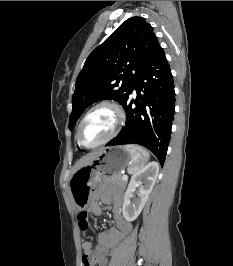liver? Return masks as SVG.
Returning <instances> with one entry per match:
<instances>
[{
	"label": "liver",
	"instance_id": "1",
	"mask_svg": "<svg viewBox=\"0 0 233 266\" xmlns=\"http://www.w3.org/2000/svg\"><path fill=\"white\" fill-rule=\"evenodd\" d=\"M100 152H101V151H95V152H92V153H90V154H88V155L82 157V158L76 163V165H75V167H74V172H75L77 169H79V168H81V167H83V166H85V165L90 164L93 160L96 159V157L100 154Z\"/></svg>",
	"mask_w": 233,
	"mask_h": 266
}]
</instances>
